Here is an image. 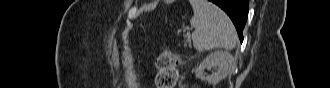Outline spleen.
Segmentation results:
<instances>
[{"label":"spleen","mask_w":330,"mask_h":88,"mask_svg":"<svg viewBox=\"0 0 330 88\" xmlns=\"http://www.w3.org/2000/svg\"><path fill=\"white\" fill-rule=\"evenodd\" d=\"M194 16L190 23L193 45L197 51L221 48L232 50L237 43V34L230 18L215 4L207 0H190ZM180 60L179 56H176Z\"/></svg>","instance_id":"3e777b00"}]
</instances>
